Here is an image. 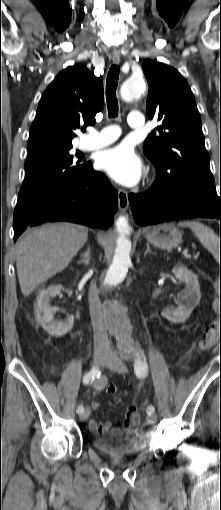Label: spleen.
<instances>
[{"instance_id":"spleen-1","label":"spleen","mask_w":221,"mask_h":510,"mask_svg":"<svg viewBox=\"0 0 221 510\" xmlns=\"http://www.w3.org/2000/svg\"><path fill=\"white\" fill-rule=\"evenodd\" d=\"M178 225L180 227H188L190 228L195 236L198 238L200 243L212 253V255L217 259L219 254V238L218 235L214 233L212 229L205 226L204 224L198 221H182L179 222Z\"/></svg>"}]
</instances>
